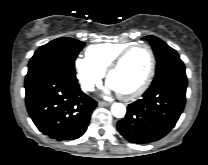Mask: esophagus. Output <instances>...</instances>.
I'll use <instances>...</instances> for the list:
<instances>
[{
  "mask_svg": "<svg viewBox=\"0 0 208 165\" xmlns=\"http://www.w3.org/2000/svg\"><path fill=\"white\" fill-rule=\"evenodd\" d=\"M110 103L105 101H98L99 106H108Z\"/></svg>",
  "mask_w": 208,
  "mask_h": 165,
  "instance_id": "1",
  "label": "esophagus"
}]
</instances>
